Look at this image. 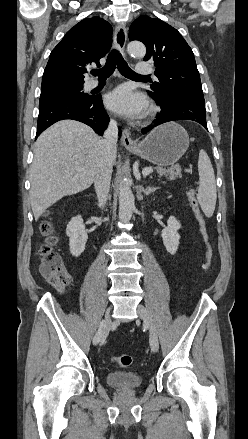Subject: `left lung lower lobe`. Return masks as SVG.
Listing matches in <instances>:
<instances>
[{"mask_svg": "<svg viewBox=\"0 0 248 439\" xmlns=\"http://www.w3.org/2000/svg\"><path fill=\"white\" fill-rule=\"evenodd\" d=\"M159 105L161 107V112L156 116L153 125L142 130L143 134L149 132L160 124L176 120H192L200 123L205 129H207L204 102L191 99H174L165 106L161 104Z\"/></svg>", "mask_w": 248, "mask_h": 439, "instance_id": "obj_1", "label": "left lung lower lobe"}]
</instances>
